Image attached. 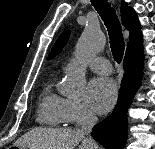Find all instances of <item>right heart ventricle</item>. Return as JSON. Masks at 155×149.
<instances>
[{
	"label": "right heart ventricle",
	"instance_id": "right-heart-ventricle-1",
	"mask_svg": "<svg viewBox=\"0 0 155 149\" xmlns=\"http://www.w3.org/2000/svg\"><path fill=\"white\" fill-rule=\"evenodd\" d=\"M66 99L53 90L52 81L48 82L42 92L38 111V122L50 126H59L66 123Z\"/></svg>",
	"mask_w": 155,
	"mask_h": 149
}]
</instances>
